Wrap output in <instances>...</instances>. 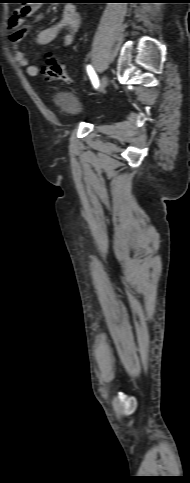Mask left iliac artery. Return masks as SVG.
<instances>
[{"label":"left iliac artery","mask_w":190,"mask_h":483,"mask_svg":"<svg viewBox=\"0 0 190 483\" xmlns=\"http://www.w3.org/2000/svg\"><path fill=\"white\" fill-rule=\"evenodd\" d=\"M87 72H88V75H89V77L91 79V82H92L93 86L95 88H98V86H99V80H98V77H97V75H96V73H95V71H94V69L92 68L91 65H88L87 66Z\"/></svg>","instance_id":"left-iliac-artery-1"}]
</instances>
